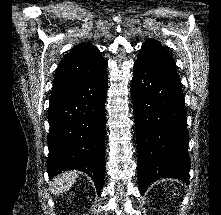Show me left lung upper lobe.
I'll list each match as a JSON object with an SVG mask.
<instances>
[{"label":"left lung upper lobe","mask_w":221,"mask_h":215,"mask_svg":"<svg viewBox=\"0 0 221 215\" xmlns=\"http://www.w3.org/2000/svg\"><path fill=\"white\" fill-rule=\"evenodd\" d=\"M137 61L177 73L176 65L170 52L154 39H147L143 43Z\"/></svg>","instance_id":"left-lung-upper-lobe-1"}]
</instances>
